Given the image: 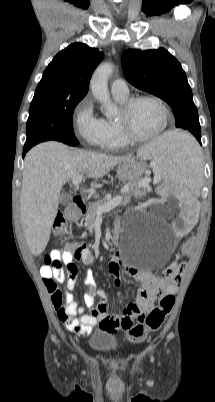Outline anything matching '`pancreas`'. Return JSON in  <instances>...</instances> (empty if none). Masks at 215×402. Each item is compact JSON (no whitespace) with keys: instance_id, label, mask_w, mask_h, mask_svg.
<instances>
[{"instance_id":"obj_1","label":"pancreas","mask_w":215,"mask_h":402,"mask_svg":"<svg viewBox=\"0 0 215 402\" xmlns=\"http://www.w3.org/2000/svg\"><path fill=\"white\" fill-rule=\"evenodd\" d=\"M126 191L124 192V200L121 202V205H127L132 196H140L145 194V190L148 187L141 186L139 184V181L132 182V183H127L125 184ZM108 201L106 199H102L97 201L94 204H91L86 212L85 216V222L87 225H92L95 222V219L97 218V207L104 205Z\"/></svg>"}]
</instances>
